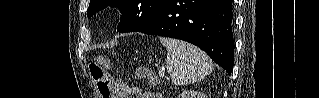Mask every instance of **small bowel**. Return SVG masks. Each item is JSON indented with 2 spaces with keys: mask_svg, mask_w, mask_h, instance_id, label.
Returning a JSON list of instances; mask_svg holds the SVG:
<instances>
[{
  "mask_svg": "<svg viewBox=\"0 0 319 98\" xmlns=\"http://www.w3.org/2000/svg\"><path fill=\"white\" fill-rule=\"evenodd\" d=\"M112 84L114 96L113 98H127L130 94L135 95L136 98H161L159 95L151 91H142L138 87H132L122 80L110 79Z\"/></svg>",
  "mask_w": 319,
  "mask_h": 98,
  "instance_id": "c3829d8e",
  "label": "small bowel"
}]
</instances>
